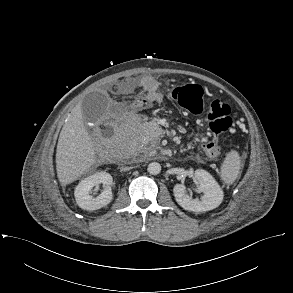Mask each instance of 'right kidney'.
<instances>
[{"label": "right kidney", "mask_w": 293, "mask_h": 293, "mask_svg": "<svg viewBox=\"0 0 293 293\" xmlns=\"http://www.w3.org/2000/svg\"><path fill=\"white\" fill-rule=\"evenodd\" d=\"M104 185V190L97 197L90 195L91 190L98 184ZM112 184V176L105 172H96L83 179L75 188L74 196L77 205L88 211L98 210L108 205L113 198L110 185Z\"/></svg>", "instance_id": "obj_1"}]
</instances>
